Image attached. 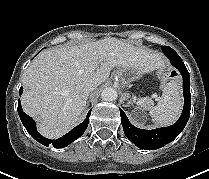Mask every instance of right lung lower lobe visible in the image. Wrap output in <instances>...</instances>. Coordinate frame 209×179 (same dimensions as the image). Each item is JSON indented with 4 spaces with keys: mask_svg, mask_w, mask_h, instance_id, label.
<instances>
[{
    "mask_svg": "<svg viewBox=\"0 0 209 179\" xmlns=\"http://www.w3.org/2000/svg\"><path fill=\"white\" fill-rule=\"evenodd\" d=\"M22 92H23V88L21 87L19 90V94L21 95ZM18 114L27 132L35 140H37L39 143H41L44 146L53 145L55 148H63L71 144L73 141L78 139L84 133L89 123L88 118L91 114V110L88 112L86 119L81 124H79L70 132H68L67 134L56 140L47 139L39 134V132L36 129L35 121L30 116H28L26 113L23 112L20 100L18 101Z\"/></svg>",
    "mask_w": 209,
    "mask_h": 179,
    "instance_id": "1",
    "label": "right lung lower lobe"
}]
</instances>
